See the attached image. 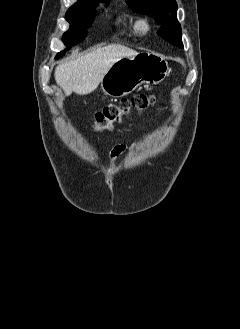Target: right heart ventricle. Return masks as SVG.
Masks as SVG:
<instances>
[{"label":"right heart ventricle","mask_w":240,"mask_h":329,"mask_svg":"<svg viewBox=\"0 0 240 329\" xmlns=\"http://www.w3.org/2000/svg\"><path fill=\"white\" fill-rule=\"evenodd\" d=\"M121 23L124 25V26H126V27H128V28H131V29H133V30H136L137 29V26H136V22L135 21H128V20H121Z\"/></svg>","instance_id":"1"}]
</instances>
